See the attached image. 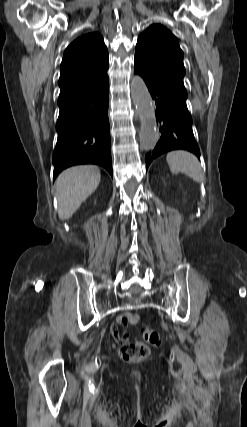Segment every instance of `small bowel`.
<instances>
[{
    "label": "small bowel",
    "instance_id": "c3829d8e",
    "mask_svg": "<svg viewBox=\"0 0 247 427\" xmlns=\"http://www.w3.org/2000/svg\"><path fill=\"white\" fill-rule=\"evenodd\" d=\"M139 320L138 315L132 314V313H123L117 316L116 323L113 324L110 327V333L113 336V338L118 343H124L126 342L128 338V333L126 330L120 331L118 325L123 326L124 328L128 327L129 325L136 324Z\"/></svg>",
    "mask_w": 247,
    "mask_h": 427
}]
</instances>
